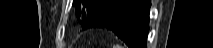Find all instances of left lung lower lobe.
<instances>
[{"instance_id": "left-lung-lower-lobe-1", "label": "left lung lower lobe", "mask_w": 213, "mask_h": 48, "mask_svg": "<svg viewBox=\"0 0 213 48\" xmlns=\"http://www.w3.org/2000/svg\"><path fill=\"white\" fill-rule=\"evenodd\" d=\"M150 0H112L99 9L83 29L107 28L129 48H146Z\"/></svg>"}]
</instances>
